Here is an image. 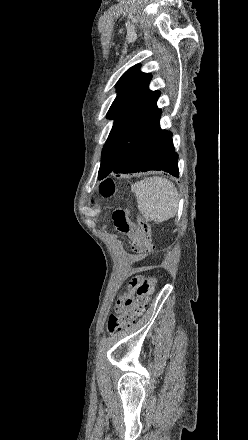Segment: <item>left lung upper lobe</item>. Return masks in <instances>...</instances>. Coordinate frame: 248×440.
I'll return each instance as SVG.
<instances>
[{
    "label": "left lung upper lobe",
    "mask_w": 248,
    "mask_h": 440,
    "mask_svg": "<svg viewBox=\"0 0 248 440\" xmlns=\"http://www.w3.org/2000/svg\"><path fill=\"white\" fill-rule=\"evenodd\" d=\"M139 68L140 64L131 67L117 83V96L107 113L114 124L102 150L100 180L119 165L131 148L160 128L161 110L156 105L160 92L149 90L151 74Z\"/></svg>",
    "instance_id": "1"
}]
</instances>
